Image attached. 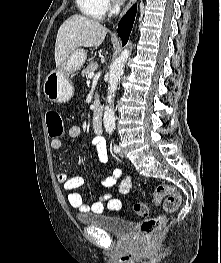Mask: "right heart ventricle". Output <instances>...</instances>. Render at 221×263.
I'll list each match as a JSON object with an SVG mask.
<instances>
[{"mask_svg": "<svg viewBox=\"0 0 221 263\" xmlns=\"http://www.w3.org/2000/svg\"><path fill=\"white\" fill-rule=\"evenodd\" d=\"M77 6L85 16L101 20L105 15V7L102 0H76Z\"/></svg>", "mask_w": 221, "mask_h": 263, "instance_id": "1", "label": "right heart ventricle"}]
</instances>
